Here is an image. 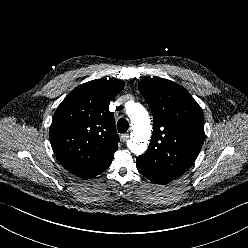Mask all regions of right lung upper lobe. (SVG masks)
<instances>
[{
  "label": "right lung upper lobe",
  "instance_id": "obj_1",
  "mask_svg": "<svg viewBox=\"0 0 248 248\" xmlns=\"http://www.w3.org/2000/svg\"><path fill=\"white\" fill-rule=\"evenodd\" d=\"M121 80L96 79L72 90L58 106L49 130L57 160L81 178L107 169L117 151L110 101L123 89Z\"/></svg>",
  "mask_w": 248,
  "mask_h": 248
}]
</instances>
